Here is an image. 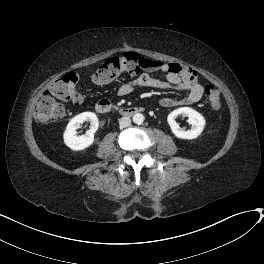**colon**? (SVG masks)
<instances>
[{
	"label": "colon",
	"instance_id": "5ec220e1",
	"mask_svg": "<svg viewBox=\"0 0 264 264\" xmlns=\"http://www.w3.org/2000/svg\"><path fill=\"white\" fill-rule=\"evenodd\" d=\"M141 68L140 58L135 54L128 53L121 57L111 58L102 64L94 73V81L98 84L107 83L115 80L120 74H134ZM206 98L213 108L221 107L222 94L217 87L208 85ZM58 100L69 101L73 104L82 101L78 77L74 72H69L57 79L50 89L38 98L35 117L39 123H49L65 115V107Z\"/></svg>",
	"mask_w": 264,
	"mask_h": 264
}]
</instances>
